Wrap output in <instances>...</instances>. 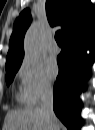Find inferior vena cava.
Listing matches in <instances>:
<instances>
[{
  "label": "inferior vena cava",
  "mask_w": 95,
  "mask_h": 130,
  "mask_svg": "<svg viewBox=\"0 0 95 130\" xmlns=\"http://www.w3.org/2000/svg\"><path fill=\"white\" fill-rule=\"evenodd\" d=\"M39 110L44 114L46 121L50 128L49 130H59L56 128L57 118L53 111V88L51 86L45 87L41 94V103Z\"/></svg>",
  "instance_id": "1"
}]
</instances>
